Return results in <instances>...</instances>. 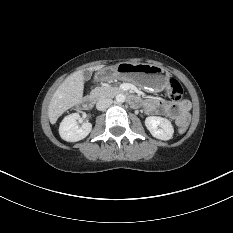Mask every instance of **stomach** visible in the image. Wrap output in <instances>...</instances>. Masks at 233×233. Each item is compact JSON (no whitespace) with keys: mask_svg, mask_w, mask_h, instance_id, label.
I'll list each match as a JSON object with an SVG mask.
<instances>
[{"mask_svg":"<svg viewBox=\"0 0 233 233\" xmlns=\"http://www.w3.org/2000/svg\"><path fill=\"white\" fill-rule=\"evenodd\" d=\"M169 72L163 67L148 63L121 62L105 67L95 74L96 82H109L114 79L127 80L149 91H162L168 84Z\"/></svg>","mask_w":233,"mask_h":233,"instance_id":"1","label":"stomach"}]
</instances>
